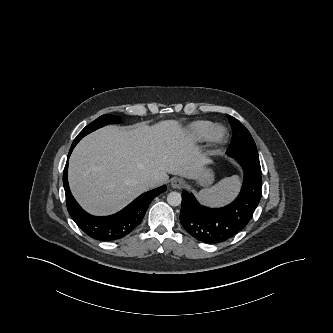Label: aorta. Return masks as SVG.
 <instances>
[{
    "mask_svg": "<svg viewBox=\"0 0 333 333\" xmlns=\"http://www.w3.org/2000/svg\"><path fill=\"white\" fill-rule=\"evenodd\" d=\"M182 197L179 192H170L167 196V202L171 206H178L181 204Z\"/></svg>",
    "mask_w": 333,
    "mask_h": 333,
    "instance_id": "1",
    "label": "aorta"
}]
</instances>
